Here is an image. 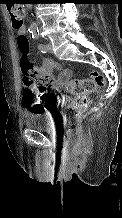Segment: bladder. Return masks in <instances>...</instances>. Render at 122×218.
<instances>
[{
    "label": "bladder",
    "instance_id": "bladder-1",
    "mask_svg": "<svg viewBox=\"0 0 122 218\" xmlns=\"http://www.w3.org/2000/svg\"><path fill=\"white\" fill-rule=\"evenodd\" d=\"M24 124L31 128L45 130L50 126V121L44 112H30L25 114Z\"/></svg>",
    "mask_w": 122,
    "mask_h": 218
}]
</instances>
